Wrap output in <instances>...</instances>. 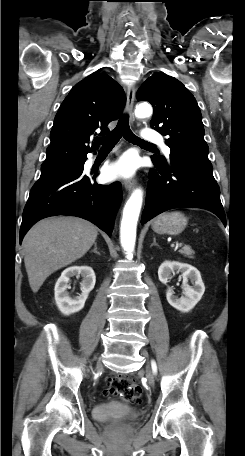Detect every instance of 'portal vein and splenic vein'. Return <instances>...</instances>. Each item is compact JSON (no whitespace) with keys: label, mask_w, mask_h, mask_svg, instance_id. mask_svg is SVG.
Masks as SVG:
<instances>
[{"label":"portal vein and splenic vein","mask_w":245,"mask_h":456,"mask_svg":"<svg viewBox=\"0 0 245 456\" xmlns=\"http://www.w3.org/2000/svg\"><path fill=\"white\" fill-rule=\"evenodd\" d=\"M181 246H182V243H177V244L175 245V247H177V248H179V247H181Z\"/></svg>","instance_id":"1"}]
</instances>
